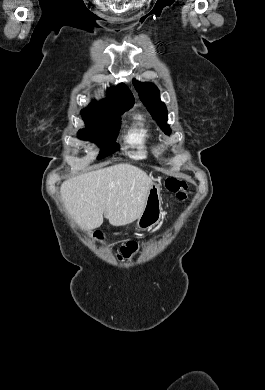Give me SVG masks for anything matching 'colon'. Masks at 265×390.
Returning a JSON list of instances; mask_svg holds the SVG:
<instances>
[{
    "mask_svg": "<svg viewBox=\"0 0 265 390\" xmlns=\"http://www.w3.org/2000/svg\"><path fill=\"white\" fill-rule=\"evenodd\" d=\"M165 186L167 190L173 193L180 201H185L189 196L187 184L178 178L175 177L167 178L165 181ZM138 248H139V244L137 242L134 241L128 242L127 244H125L119 249V251L117 252V257L119 260L122 259L129 260L135 254Z\"/></svg>",
    "mask_w": 265,
    "mask_h": 390,
    "instance_id": "obj_1",
    "label": "colon"
}]
</instances>
